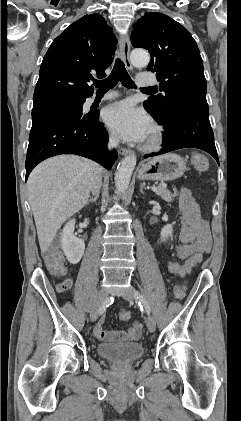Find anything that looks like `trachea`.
I'll return each instance as SVG.
<instances>
[{
  "mask_svg": "<svg viewBox=\"0 0 241 421\" xmlns=\"http://www.w3.org/2000/svg\"><path fill=\"white\" fill-rule=\"evenodd\" d=\"M121 82L123 86L127 88H135V84L129 76L124 63L120 59H116L114 68L111 74L103 80L94 81V85L98 88V92H107L116 86L118 82ZM151 87L143 88L142 90H149Z\"/></svg>",
  "mask_w": 241,
  "mask_h": 421,
  "instance_id": "trachea-1",
  "label": "trachea"
}]
</instances>
